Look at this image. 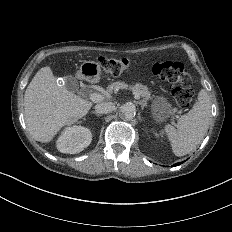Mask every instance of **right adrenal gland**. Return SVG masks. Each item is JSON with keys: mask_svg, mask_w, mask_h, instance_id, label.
<instances>
[{"mask_svg": "<svg viewBox=\"0 0 232 232\" xmlns=\"http://www.w3.org/2000/svg\"><path fill=\"white\" fill-rule=\"evenodd\" d=\"M91 113H92V114L97 115L98 117H100V116H101V114H100V113H98V112H96V111H92Z\"/></svg>", "mask_w": 232, "mask_h": 232, "instance_id": "obj_1", "label": "right adrenal gland"}]
</instances>
